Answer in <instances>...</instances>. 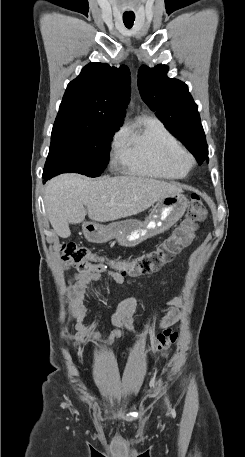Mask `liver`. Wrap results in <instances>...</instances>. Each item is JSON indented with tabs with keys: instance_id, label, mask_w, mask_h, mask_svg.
Segmentation results:
<instances>
[{
	"instance_id": "1",
	"label": "liver",
	"mask_w": 245,
	"mask_h": 457,
	"mask_svg": "<svg viewBox=\"0 0 245 457\" xmlns=\"http://www.w3.org/2000/svg\"><path fill=\"white\" fill-rule=\"evenodd\" d=\"M174 192H182V188L145 176L86 178L81 174H59L48 180L44 202L56 235L67 239L71 235L70 222H82L87 212L91 220H116L142 212Z\"/></svg>"
}]
</instances>
